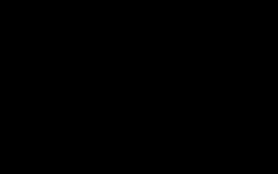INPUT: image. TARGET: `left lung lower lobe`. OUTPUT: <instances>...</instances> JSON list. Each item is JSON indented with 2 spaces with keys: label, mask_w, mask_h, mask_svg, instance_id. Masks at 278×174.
<instances>
[{
  "label": "left lung lower lobe",
  "mask_w": 278,
  "mask_h": 174,
  "mask_svg": "<svg viewBox=\"0 0 278 174\" xmlns=\"http://www.w3.org/2000/svg\"><path fill=\"white\" fill-rule=\"evenodd\" d=\"M216 93L213 78L198 76L159 92L150 102L156 139L169 147H183L200 134Z\"/></svg>",
  "instance_id": "0a47b994"
}]
</instances>
